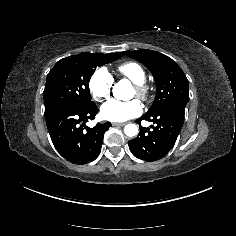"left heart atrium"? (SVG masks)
<instances>
[{"label":"left heart atrium","instance_id":"39dd6f15","mask_svg":"<svg viewBox=\"0 0 236 236\" xmlns=\"http://www.w3.org/2000/svg\"><path fill=\"white\" fill-rule=\"evenodd\" d=\"M142 105L138 100L119 102L112 100L101 109V117L111 122H124L140 115Z\"/></svg>","mask_w":236,"mask_h":236}]
</instances>
